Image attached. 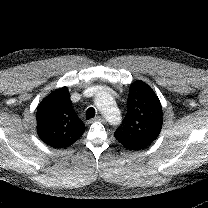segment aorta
<instances>
[{"mask_svg": "<svg viewBox=\"0 0 208 208\" xmlns=\"http://www.w3.org/2000/svg\"><path fill=\"white\" fill-rule=\"evenodd\" d=\"M95 105L110 123H118L121 120L120 111L107 90L100 89L98 91L95 98Z\"/></svg>", "mask_w": 208, "mask_h": 208, "instance_id": "762f6f07", "label": "aorta"}]
</instances>
